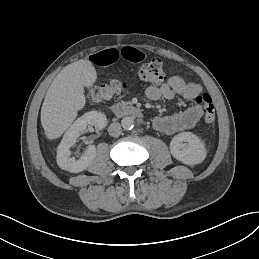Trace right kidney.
Here are the masks:
<instances>
[{
	"label": "right kidney",
	"mask_w": 259,
	"mask_h": 259,
	"mask_svg": "<svg viewBox=\"0 0 259 259\" xmlns=\"http://www.w3.org/2000/svg\"><path fill=\"white\" fill-rule=\"evenodd\" d=\"M106 125V117L102 113L96 111L88 112L79 118L74 125L67 131L63 141L58 147L57 164L62 169L69 173L78 174L85 171L96 158L95 146H90L82 155L81 159L75 160L71 158L70 148L77 143V139L85 134L89 128L95 127L100 130Z\"/></svg>",
	"instance_id": "right-kidney-1"
}]
</instances>
